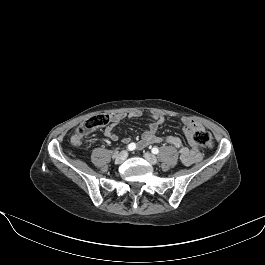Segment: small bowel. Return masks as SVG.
Returning <instances> with one entry per match:
<instances>
[{
	"instance_id": "obj_1",
	"label": "small bowel",
	"mask_w": 265,
	"mask_h": 265,
	"mask_svg": "<svg viewBox=\"0 0 265 265\" xmlns=\"http://www.w3.org/2000/svg\"><path fill=\"white\" fill-rule=\"evenodd\" d=\"M142 115L143 112L140 110H133L128 114H112L110 116V122L105 128L104 135L112 141H117L119 139V136L113 132L114 128L118 124H120L125 118L135 119L141 117ZM150 119L151 123L143 132L140 141L137 143V148L139 150L152 144L166 142L167 144L172 145L179 150L180 159L184 165L189 166L201 160V153L195 141L194 135L196 131L203 130L202 124L188 117H184L182 119V131L188 141V145H186L180 137L169 136L164 139L157 135V130L159 126L162 125L165 121L163 116L158 114H151ZM123 142L129 143L130 138L124 137Z\"/></svg>"
}]
</instances>
